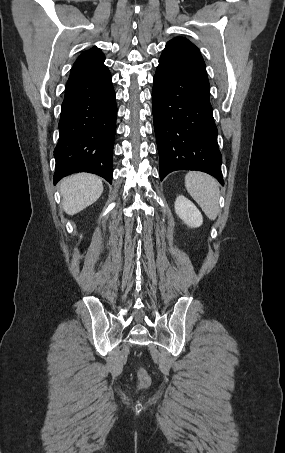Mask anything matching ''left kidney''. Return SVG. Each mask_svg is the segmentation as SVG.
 Here are the masks:
<instances>
[{"label": "left kidney", "mask_w": 285, "mask_h": 453, "mask_svg": "<svg viewBox=\"0 0 285 453\" xmlns=\"http://www.w3.org/2000/svg\"><path fill=\"white\" fill-rule=\"evenodd\" d=\"M175 212L191 228L200 227L203 223L200 211L183 195H179L175 200Z\"/></svg>", "instance_id": "5707ae66"}]
</instances>
